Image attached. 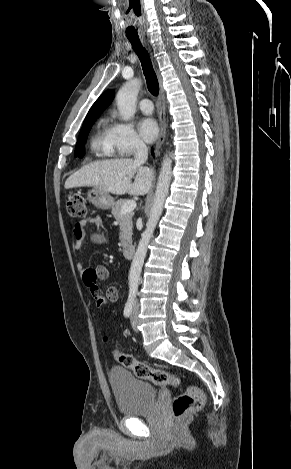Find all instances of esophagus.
Here are the masks:
<instances>
[{
	"label": "esophagus",
	"instance_id": "34e87169",
	"mask_svg": "<svg viewBox=\"0 0 291 469\" xmlns=\"http://www.w3.org/2000/svg\"><path fill=\"white\" fill-rule=\"evenodd\" d=\"M159 78V85H160V92H159V126H160V133L159 137L156 141L155 149L156 153H159L161 146L163 145L166 137V117H165V92L162 86V79L158 74Z\"/></svg>",
	"mask_w": 291,
	"mask_h": 469
}]
</instances>
